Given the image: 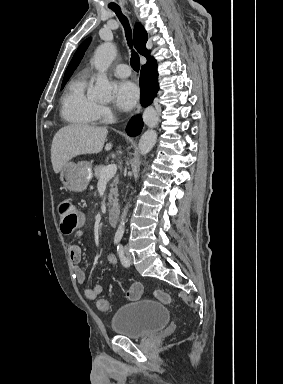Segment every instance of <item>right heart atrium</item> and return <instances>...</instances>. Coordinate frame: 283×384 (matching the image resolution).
<instances>
[{
	"instance_id": "d8ad5b80",
	"label": "right heart atrium",
	"mask_w": 283,
	"mask_h": 384,
	"mask_svg": "<svg viewBox=\"0 0 283 384\" xmlns=\"http://www.w3.org/2000/svg\"><path fill=\"white\" fill-rule=\"evenodd\" d=\"M112 114L111 109L107 105L100 106V115L102 118H108Z\"/></svg>"
}]
</instances>
